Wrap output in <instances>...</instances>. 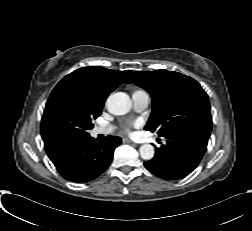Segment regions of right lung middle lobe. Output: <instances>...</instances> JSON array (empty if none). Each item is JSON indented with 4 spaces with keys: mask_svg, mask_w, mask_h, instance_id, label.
Instances as JSON below:
<instances>
[{
    "mask_svg": "<svg viewBox=\"0 0 252 231\" xmlns=\"http://www.w3.org/2000/svg\"><path fill=\"white\" fill-rule=\"evenodd\" d=\"M102 112V107L85 103L68 91L52 92L44 110L41 135L49 146L61 147L65 143L89 135L92 120Z\"/></svg>",
    "mask_w": 252,
    "mask_h": 231,
    "instance_id": "right-lung-middle-lobe-1",
    "label": "right lung middle lobe"
}]
</instances>
